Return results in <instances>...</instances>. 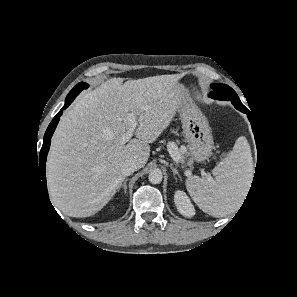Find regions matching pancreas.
<instances>
[{
    "instance_id": "cf45deb5",
    "label": "pancreas",
    "mask_w": 297,
    "mask_h": 297,
    "mask_svg": "<svg viewBox=\"0 0 297 297\" xmlns=\"http://www.w3.org/2000/svg\"><path fill=\"white\" fill-rule=\"evenodd\" d=\"M174 147H175V150H174L175 153L180 157V160H179V162H180L183 160V150L184 149L178 148L176 144H174Z\"/></svg>"
}]
</instances>
